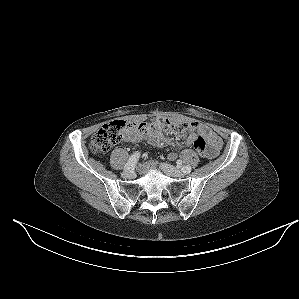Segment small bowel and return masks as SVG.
Returning a JSON list of instances; mask_svg holds the SVG:
<instances>
[{
    "mask_svg": "<svg viewBox=\"0 0 299 299\" xmlns=\"http://www.w3.org/2000/svg\"><path fill=\"white\" fill-rule=\"evenodd\" d=\"M159 121L160 118L154 119L149 124H146V127L143 130L137 128L130 129L125 135L124 139L133 143H137L145 139L154 146L173 144V141L164 134L163 128ZM198 136L203 137L207 141L209 149V155L207 157L212 158L216 156L222 146L221 138L207 125L192 123V126L185 137V142L187 144H192L195 138ZM168 157L169 159L174 160L176 159L177 155L175 152H171L169 153ZM150 166H153V163H150Z\"/></svg>",
    "mask_w": 299,
    "mask_h": 299,
    "instance_id": "obj_1",
    "label": "small bowel"
}]
</instances>
